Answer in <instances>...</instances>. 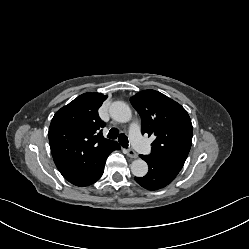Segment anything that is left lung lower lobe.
I'll return each mask as SVG.
<instances>
[{
  "label": "left lung lower lobe",
  "instance_id": "0a47b994",
  "mask_svg": "<svg viewBox=\"0 0 249 249\" xmlns=\"http://www.w3.org/2000/svg\"><path fill=\"white\" fill-rule=\"evenodd\" d=\"M140 157L149 165V171L144 177H135L136 182L142 187L148 190L161 189L170 184L177 176V173L159 167L146 156L140 155Z\"/></svg>",
  "mask_w": 249,
  "mask_h": 249
}]
</instances>
